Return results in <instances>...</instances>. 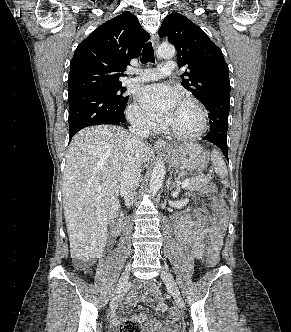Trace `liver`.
<instances>
[{
  "label": "liver",
  "instance_id": "1",
  "mask_svg": "<svg viewBox=\"0 0 291 332\" xmlns=\"http://www.w3.org/2000/svg\"><path fill=\"white\" fill-rule=\"evenodd\" d=\"M130 134L110 125L78 132L69 145L63 174L64 217L71 258H100L107 242V225L117 214L124 157ZM154 151L143 145V163Z\"/></svg>",
  "mask_w": 291,
  "mask_h": 332
}]
</instances>
